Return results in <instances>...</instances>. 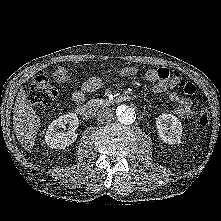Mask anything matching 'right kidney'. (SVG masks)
<instances>
[{
    "label": "right kidney",
    "mask_w": 221,
    "mask_h": 221,
    "mask_svg": "<svg viewBox=\"0 0 221 221\" xmlns=\"http://www.w3.org/2000/svg\"><path fill=\"white\" fill-rule=\"evenodd\" d=\"M66 124L70 125V130L65 133L60 132L59 129L61 127L65 128ZM78 124V117L74 113H69L53 120L46 131V144L52 149H65L66 147H69L77 139L78 135L75 133V129L78 128Z\"/></svg>",
    "instance_id": "1"
}]
</instances>
